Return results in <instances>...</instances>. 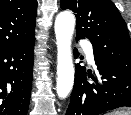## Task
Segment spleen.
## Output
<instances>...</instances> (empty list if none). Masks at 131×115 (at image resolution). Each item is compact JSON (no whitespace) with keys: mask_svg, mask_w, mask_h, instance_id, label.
Returning <instances> with one entry per match:
<instances>
[{"mask_svg":"<svg viewBox=\"0 0 131 115\" xmlns=\"http://www.w3.org/2000/svg\"><path fill=\"white\" fill-rule=\"evenodd\" d=\"M110 115H131V111L120 110V111H115Z\"/></svg>","mask_w":131,"mask_h":115,"instance_id":"3e777b00","label":"spleen"}]
</instances>
